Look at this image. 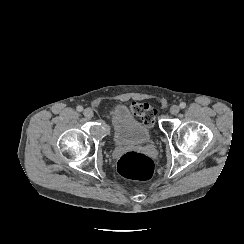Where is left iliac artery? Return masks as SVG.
I'll return each mask as SVG.
<instances>
[{
	"mask_svg": "<svg viewBox=\"0 0 244 244\" xmlns=\"http://www.w3.org/2000/svg\"><path fill=\"white\" fill-rule=\"evenodd\" d=\"M179 106H180V108L184 109L186 107V103L185 102H181Z\"/></svg>",
	"mask_w": 244,
	"mask_h": 244,
	"instance_id": "44dca946",
	"label": "left iliac artery"
}]
</instances>
